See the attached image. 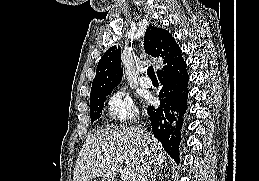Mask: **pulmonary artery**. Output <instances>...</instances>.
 I'll return each mask as SVG.
<instances>
[{
    "label": "pulmonary artery",
    "instance_id": "e3ab8cb5",
    "mask_svg": "<svg viewBox=\"0 0 259 181\" xmlns=\"http://www.w3.org/2000/svg\"><path fill=\"white\" fill-rule=\"evenodd\" d=\"M139 84H140L142 87L149 88V87L152 85V82H151V80L148 79L147 77L141 76V77L139 78Z\"/></svg>",
    "mask_w": 259,
    "mask_h": 181
}]
</instances>
